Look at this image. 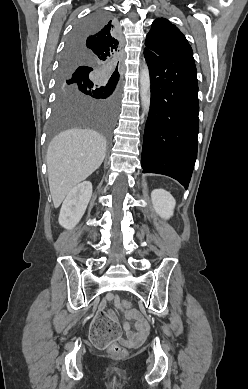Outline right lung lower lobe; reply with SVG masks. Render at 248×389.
Here are the masks:
<instances>
[{
  "mask_svg": "<svg viewBox=\"0 0 248 389\" xmlns=\"http://www.w3.org/2000/svg\"><path fill=\"white\" fill-rule=\"evenodd\" d=\"M81 39H82V38H78V39L74 40V43H75V44L79 43V42L81 41ZM73 48H74V47H69V46L67 47V46H66V49H65L64 53H66L67 55H69L68 57H71V56L75 55L74 52H73ZM68 59H69V58H68ZM68 59H66V61H67ZM82 73H85V70L77 69L76 71L73 72L72 75L77 76V75L82 74Z\"/></svg>",
  "mask_w": 248,
  "mask_h": 389,
  "instance_id": "right-lung-lower-lobe-1",
  "label": "right lung lower lobe"
}]
</instances>
